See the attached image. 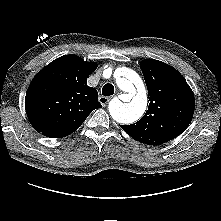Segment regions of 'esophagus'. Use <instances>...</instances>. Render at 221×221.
<instances>
[{"label": "esophagus", "mask_w": 221, "mask_h": 221, "mask_svg": "<svg viewBox=\"0 0 221 221\" xmlns=\"http://www.w3.org/2000/svg\"><path fill=\"white\" fill-rule=\"evenodd\" d=\"M110 97H105V96H100L99 97V102L103 105L106 106L108 102L110 101Z\"/></svg>", "instance_id": "34e87169"}]
</instances>
